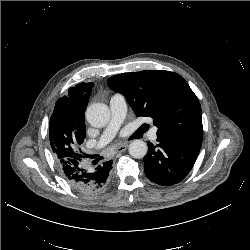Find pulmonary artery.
Wrapping results in <instances>:
<instances>
[{"instance_id": "1", "label": "pulmonary artery", "mask_w": 250, "mask_h": 250, "mask_svg": "<svg viewBox=\"0 0 250 250\" xmlns=\"http://www.w3.org/2000/svg\"><path fill=\"white\" fill-rule=\"evenodd\" d=\"M111 119L109 125L101 135L98 141V147H103L108 144L116 135L120 125L125 119L127 112V104L125 97L121 94H115L110 98ZM151 140L157 139V128L154 127L150 132Z\"/></svg>"}]
</instances>
